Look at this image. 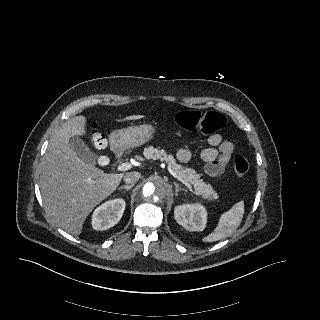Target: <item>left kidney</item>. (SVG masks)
Instances as JSON below:
<instances>
[{"instance_id":"left-kidney-1","label":"left kidney","mask_w":320,"mask_h":320,"mask_svg":"<svg viewBox=\"0 0 320 320\" xmlns=\"http://www.w3.org/2000/svg\"><path fill=\"white\" fill-rule=\"evenodd\" d=\"M175 219L189 231H203L206 225L207 212L201 204H184L174 210Z\"/></svg>"}]
</instances>
